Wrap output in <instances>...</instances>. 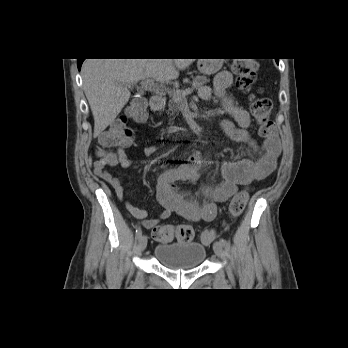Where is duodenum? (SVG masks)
<instances>
[{"label":"duodenum","mask_w":348,"mask_h":348,"mask_svg":"<svg viewBox=\"0 0 348 348\" xmlns=\"http://www.w3.org/2000/svg\"><path fill=\"white\" fill-rule=\"evenodd\" d=\"M164 99L160 96H154L150 100V108L153 111H160L164 107Z\"/></svg>","instance_id":"duodenum-1"}]
</instances>
